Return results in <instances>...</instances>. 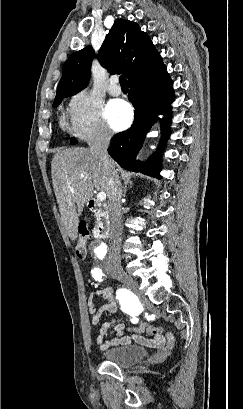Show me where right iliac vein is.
Returning a JSON list of instances; mask_svg holds the SVG:
<instances>
[{
	"label": "right iliac vein",
	"instance_id": "right-iliac-vein-1",
	"mask_svg": "<svg viewBox=\"0 0 243 409\" xmlns=\"http://www.w3.org/2000/svg\"><path fill=\"white\" fill-rule=\"evenodd\" d=\"M114 278L122 282L124 285L132 289L134 292H138L137 282L128 274L123 271H117L112 274Z\"/></svg>",
	"mask_w": 243,
	"mask_h": 409
}]
</instances>
